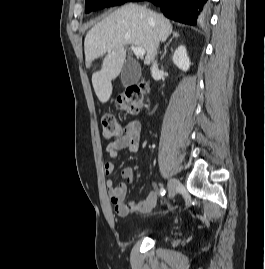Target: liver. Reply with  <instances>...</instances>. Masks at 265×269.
Returning <instances> with one entry per match:
<instances>
[{
    "label": "liver",
    "instance_id": "1",
    "mask_svg": "<svg viewBox=\"0 0 265 269\" xmlns=\"http://www.w3.org/2000/svg\"><path fill=\"white\" fill-rule=\"evenodd\" d=\"M172 32V25L163 15L136 4H127L115 10L87 33L84 41L86 67L102 57V68L92 75L94 91L105 103L112 94V80L122 71L127 45L146 51L145 65L156 54L160 41L164 42Z\"/></svg>",
    "mask_w": 265,
    "mask_h": 269
}]
</instances>
